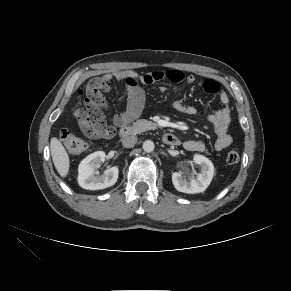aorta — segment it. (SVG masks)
Here are the masks:
<instances>
[{
    "instance_id": "762f6f07",
    "label": "aorta",
    "mask_w": 291,
    "mask_h": 291,
    "mask_svg": "<svg viewBox=\"0 0 291 291\" xmlns=\"http://www.w3.org/2000/svg\"><path fill=\"white\" fill-rule=\"evenodd\" d=\"M155 145L154 142L151 140H146L143 142V150L147 153H150L154 150Z\"/></svg>"
}]
</instances>
